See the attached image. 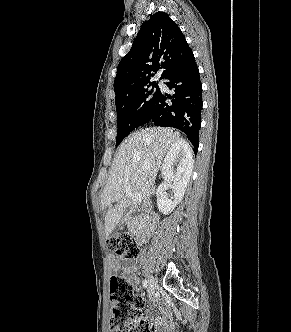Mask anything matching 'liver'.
I'll use <instances>...</instances> for the list:
<instances>
[{
    "label": "liver",
    "instance_id": "1",
    "mask_svg": "<svg viewBox=\"0 0 291 332\" xmlns=\"http://www.w3.org/2000/svg\"><path fill=\"white\" fill-rule=\"evenodd\" d=\"M181 141L170 128H146L130 134L118 147L107 184L101 194L105 214V236L108 238L130 205L125 186L140 193L145 208L152 207L150 195L157 172L171 146ZM126 194V195H125ZM116 202L115 206L112 204Z\"/></svg>",
    "mask_w": 291,
    "mask_h": 332
}]
</instances>
